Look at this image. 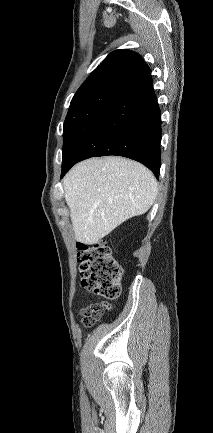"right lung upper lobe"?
I'll return each instance as SVG.
<instances>
[{
	"instance_id": "right-lung-upper-lobe-1",
	"label": "right lung upper lobe",
	"mask_w": 213,
	"mask_h": 433,
	"mask_svg": "<svg viewBox=\"0 0 213 433\" xmlns=\"http://www.w3.org/2000/svg\"><path fill=\"white\" fill-rule=\"evenodd\" d=\"M149 73L150 68L138 53L115 50L79 87L72 101L107 92L120 94Z\"/></svg>"
}]
</instances>
